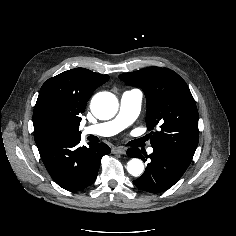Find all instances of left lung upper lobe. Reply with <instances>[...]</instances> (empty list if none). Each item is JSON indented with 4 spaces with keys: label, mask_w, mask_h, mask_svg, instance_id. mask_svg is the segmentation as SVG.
Here are the masks:
<instances>
[{
    "label": "left lung upper lobe",
    "mask_w": 236,
    "mask_h": 236,
    "mask_svg": "<svg viewBox=\"0 0 236 236\" xmlns=\"http://www.w3.org/2000/svg\"><path fill=\"white\" fill-rule=\"evenodd\" d=\"M119 78L140 87L147 99L146 125L151 145L194 155L199 141L198 110L186 82L168 68L149 67Z\"/></svg>",
    "instance_id": "1"
}]
</instances>
